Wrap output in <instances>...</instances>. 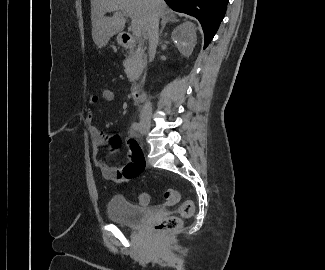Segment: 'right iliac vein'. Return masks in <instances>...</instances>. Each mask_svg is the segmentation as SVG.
<instances>
[{
	"label": "right iliac vein",
	"mask_w": 325,
	"mask_h": 270,
	"mask_svg": "<svg viewBox=\"0 0 325 270\" xmlns=\"http://www.w3.org/2000/svg\"><path fill=\"white\" fill-rule=\"evenodd\" d=\"M151 129V125L148 122H144L141 126V131L144 133H148Z\"/></svg>",
	"instance_id": "right-iliac-vein-1"
}]
</instances>
